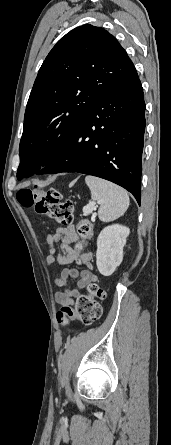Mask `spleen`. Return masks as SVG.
<instances>
[{
    "instance_id": "3e777b00",
    "label": "spleen",
    "mask_w": 171,
    "mask_h": 445,
    "mask_svg": "<svg viewBox=\"0 0 171 445\" xmlns=\"http://www.w3.org/2000/svg\"><path fill=\"white\" fill-rule=\"evenodd\" d=\"M85 182L91 191L92 200L100 203L98 216L101 221L115 220L126 212L129 196L123 188L94 176H86Z\"/></svg>"
}]
</instances>
